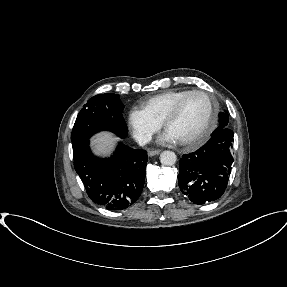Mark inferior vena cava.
<instances>
[{"label": "inferior vena cava", "instance_id": "1", "mask_svg": "<svg viewBox=\"0 0 287 287\" xmlns=\"http://www.w3.org/2000/svg\"><path fill=\"white\" fill-rule=\"evenodd\" d=\"M150 141H151V136H149V135H143V136L138 137V139H137V142L140 146H144L147 143H149Z\"/></svg>", "mask_w": 287, "mask_h": 287}]
</instances>
